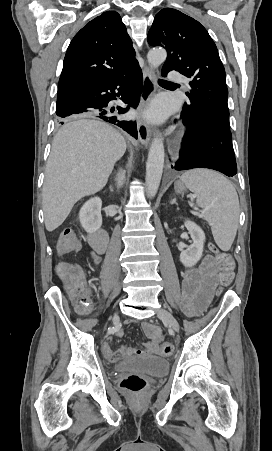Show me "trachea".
<instances>
[{
    "mask_svg": "<svg viewBox=\"0 0 272 451\" xmlns=\"http://www.w3.org/2000/svg\"><path fill=\"white\" fill-rule=\"evenodd\" d=\"M160 84H165V83H171V82H166L165 80H159Z\"/></svg>",
    "mask_w": 272,
    "mask_h": 451,
    "instance_id": "obj_1",
    "label": "trachea"
}]
</instances>
